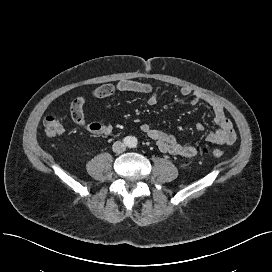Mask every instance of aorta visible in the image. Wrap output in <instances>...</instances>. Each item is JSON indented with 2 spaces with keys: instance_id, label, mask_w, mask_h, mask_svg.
<instances>
[{
  "instance_id": "aorta-1",
  "label": "aorta",
  "mask_w": 272,
  "mask_h": 272,
  "mask_svg": "<svg viewBox=\"0 0 272 272\" xmlns=\"http://www.w3.org/2000/svg\"><path fill=\"white\" fill-rule=\"evenodd\" d=\"M129 145L134 147L137 145V138L136 137H133V136H130L129 137Z\"/></svg>"
}]
</instances>
